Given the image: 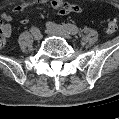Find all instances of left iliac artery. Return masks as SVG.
<instances>
[{
    "label": "left iliac artery",
    "instance_id": "left-iliac-artery-1",
    "mask_svg": "<svg viewBox=\"0 0 119 119\" xmlns=\"http://www.w3.org/2000/svg\"><path fill=\"white\" fill-rule=\"evenodd\" d=\"M47 27H51V28H54V29L63 30V31H65V32H67L69 34H72V35H76L79 32L78 27L75 26V25H72V24L57 25L55 23L48 22L47 23Z\"/></svg>",
    "mask_w": 119,
    "mask_h": 119
}]
</instances>
